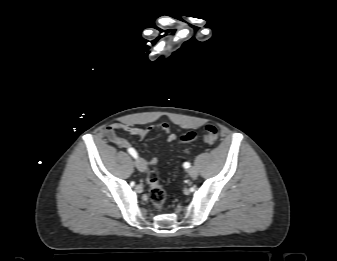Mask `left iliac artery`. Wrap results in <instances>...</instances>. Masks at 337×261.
Instances as JSON below:
<instances>
[{"mask_svg": "<svg viewBox=\"0 0 337 261\" xmlns=\"http://www.w3.org/2000/svg\"><path fill=\"white\" fill-rule=\"evenodd\" d=\"M183 166H184V168H189L190 167V163L189 162H185L184 164H183Z\"/></svg>", "mask_w": 337, "mask_h": 261, "instance_id": "1", "label": "left iliac artery"}]
</instances>
